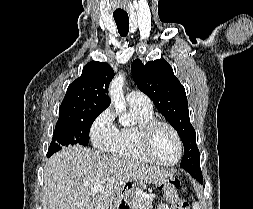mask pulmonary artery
Instances as JSON below:
<instances>
[{"label":"pulmonary artery","instance_id":"obj_1","mask_svg":"<svg viewBox=\"0 0 253 209\" xmlns=\"http://www.w3.org/2000/svg\"><path fill=\"white\" fill-rule=\"evenodd\" d=\"M126 98L129 103H137L148 106L152 105L151 100L144 93L137 90L130 91Z\"/></svg>","mask_w":253,"mask_h":209}]
</instances>
